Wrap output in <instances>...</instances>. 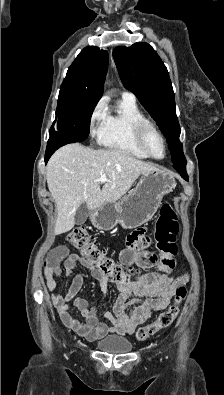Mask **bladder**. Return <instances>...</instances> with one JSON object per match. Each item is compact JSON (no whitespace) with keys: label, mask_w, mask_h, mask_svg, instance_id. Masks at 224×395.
Here are the masks:
<instances>
[{"label":"bladder","mask_w":224,"mask_h":395,"mask_svg":"<svg viewBox=\"0 0 224 395\" xmlns=\"http://www.w3.org/2000/svg\"><path fill=\"white\" fill-rule=\"evenodd\" d=\"M97 348L104 353L126 354L132 350L129 339L120 336H109L96 344Z\"/></svg>","instance_id":"31cf9c89"}]
</instances>
